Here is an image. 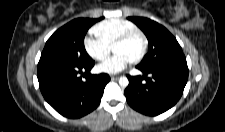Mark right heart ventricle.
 I'll use <instances>...</instances> for the list:
<instances>
[{
    "label": "right heart ventricle",
    "mask_w": 225,
    "mask_h": 132,
    "mask_svg": "<svg viewBox=\"0 0 225 132\" xmlns=\"http://www.w3.org/2000/svg\"><path fill=\"white\" fill-rule=\"evenodd\" d=\"M137 29V26L125 19H109L97 24L94 28L96 36L110 48L114 42L127 31Z\"/></svg>",
    "instance_id": "right-heart-ventricle-1"
}]
</instances>
